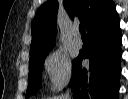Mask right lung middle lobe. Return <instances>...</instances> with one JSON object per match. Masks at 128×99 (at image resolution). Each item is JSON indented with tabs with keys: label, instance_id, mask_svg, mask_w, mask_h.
Returning <instances> with one entry per match:
<instances>
[{
	"label": "right lung middle lobe",
	"instance_id": "right-lung-middle-lobe-1",
	"mask_svg": "<svg viewBox=\"0 0 128 99\" xmlns=\"http://www.w3.org/2000/svg\"><path fill=\"white\" fill-rule=\"evenodd\" d=\"M47 53L37 55L29 60L28 88L26 96L37 93L41 86V73Z\"/></svg>",
	"mask_w": 128,
	"mask_h": 99
}]
</instances>
